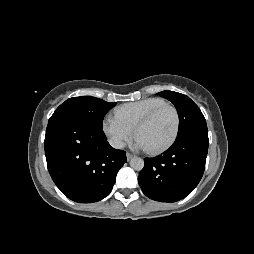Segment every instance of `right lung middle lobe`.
I'll return each instance as SVG.
<instances>
[{"mask_svg": "<svg viewBox=\"0 0 254 254\" xmlns=\"http://www.w3.org/2000/svg\"><path fill=\"white\" fill-rule=\"evenodd\" d=\"M115 104L91 96L73 97L61 104L49 120L71 117L102 128L105 114Z\"/></svg>", "mask_w": 254, "mask_h": 254, "instance_id": "dd1d6c3e", "label": "right lung middle lobe"}]
</instances>
